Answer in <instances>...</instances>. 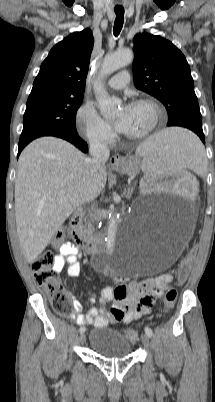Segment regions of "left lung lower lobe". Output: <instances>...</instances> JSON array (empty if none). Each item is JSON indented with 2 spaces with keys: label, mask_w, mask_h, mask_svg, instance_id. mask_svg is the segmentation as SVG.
Wrapping results in <instances>:
<instances>
[{
  "label": "left lung lower lobe",
  "mask_w": 215,
  "mask_h": 402,
  "mask_svg": "<svg viewBox=\"0 0 215 402\" xmlns=\"http://www.w3.org/2000/svg\"><path fill=\"white\" fill-rule=\"evenodd\" d=\"M172 126H182V125H172ZM182 127L188 128V129L192 130L193 132H195V133L200 137V139L202 140V142L205 143V138H204L203 130L200 131V130L193 129V128H189V127H186V126H182Z\"/></svg>",
  "instance_id": "1"
}]
</instances>
